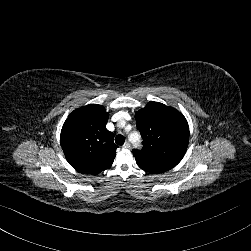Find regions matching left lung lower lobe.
Listing matches in <instances>:
<instances>
[{
	"mask_svg": "<svg viewBox=\"0 0 251 251\" xmlns=\"http://www.w3.org/2000/svg\"><path fill=\"white\" fill-rule=\"evenodd\" d=\"M136 162H137V165L141 169H143V170H145L146 172H149V173L158 174V173L168 171L167 169H164V168H161V167L152 166V165L142 163V162H139V161H136Z\"/></svg>",
	"mask_w": 251,
	"mask_h": 251,
	"instance_id": "0a47b994",
	"label": "left lung lower lobe"
}]
</instances>
